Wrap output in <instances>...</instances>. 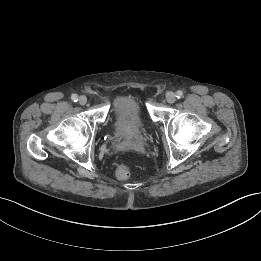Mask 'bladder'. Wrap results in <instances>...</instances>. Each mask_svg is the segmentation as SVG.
I'll return each mask as SVG.
<instances>
[{
	"label": "bladder",
	"instance_id": "1",
	"mask_svg": "<svg viewBox=\"0 0 261 261\" xmlns=\"http://www.w3.org/2000/svg\"><path fill=\"white\" fill-rule=\"evenodd\" d=\"M112 127L115 134L124 139H134L144 132L146 123L137 97L125 94L113 101Z\"/></svg>",
	"mask_w": 261,
	"mask_h": 261
}]
</instances>
